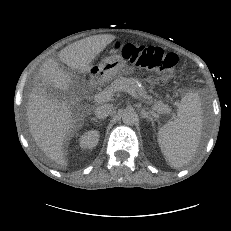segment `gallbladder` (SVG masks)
<instances>
[{"label": "gallbladder", "instance_id": "bac80fb5", "mask_svg": "<svg viewBox=\"0 0 231 231\" xmlns=\"http://www.w3.org/2000/svg\"><path fill=\"white\" fill-rule=\"evenodd\" d=\"M46 92L50 97L55 98V99H62L63 97L66 96V93L63 92V90H60L54 87L53 85L48 86L46 89Z\"/></svg>", "mask_w": 231, "mask_h": 231}]
</instances>
